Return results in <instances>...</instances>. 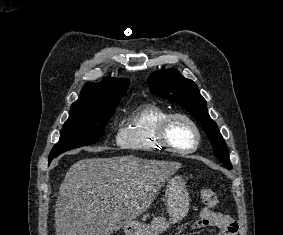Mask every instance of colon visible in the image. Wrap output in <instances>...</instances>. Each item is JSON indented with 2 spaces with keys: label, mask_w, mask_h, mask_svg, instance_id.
<instances>
[{
  "label": "colon",
  "mask_w": 283,
  "mask_h": 235,
  "mask_svg": "<svg viewBox=\"0 0 283 235\" xmlns=\"http://www.w3.org/2000/svg\"><path fill=\"white\" fill-rule=\"evenodd\" d=\"M201 198L203 202L208 206V207H215L218 204V198L216 193L208 187H205L201 189L200 192Z\"/></svg>",
  "instance_id": "colon-1"
}]
</instances>
